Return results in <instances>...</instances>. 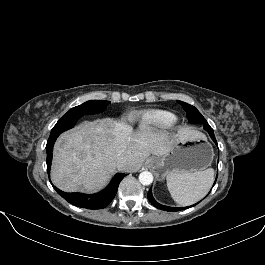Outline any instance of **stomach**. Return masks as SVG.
Wrapping results in <instances>:
<instances>
[{
  "instance_id": "0dacf381",
  "label": "stomach",
  "mask_w": 265,
  "mask_h": 265,
  "mask_svg": "<svg viewBox=\"0 0 265 265\" xmlns=\"http://www.w3.org/2000/svg\"><path fill=\"white\" fill-rule=\"evenodd\" d=\"M213 149L206 137L174 141L170 151L154 161L156 174L163 178L170 173H194L210 166Z\"/></svg>"
}]
</instances>
